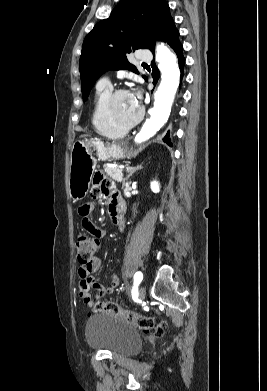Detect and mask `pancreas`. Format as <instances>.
I'll use <instances>...</instances> for the list:
<instances>
[{
    "instance_id": "pancreas-1",
    "label": "pancreas",
    "mask_w": 267,
    "mask_h": 391,
    "mask_svg": "<svg viewBox=\"0 0 267 391\" xmlns=\"http://www.w3.org/2000/svg\"><path fill=\"white\" fill-rule=\"evenodd\" d=\"M105 173L115 181L122 182L123 180V169L119 167H108L104 166Z\"/></svg>"
}]
</instances>
